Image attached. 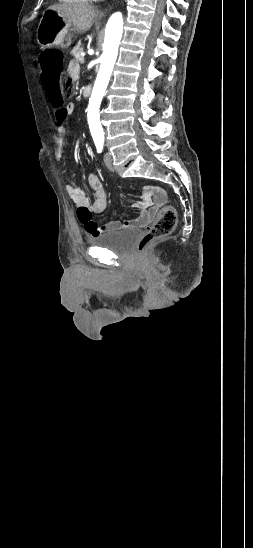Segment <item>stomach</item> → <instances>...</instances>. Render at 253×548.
Masks as SVG:
<instances>
[{"label":"stomach","instance_id":"obj_1","mask_svg":"<svg viewBox=\"0 0 253 548\" xmlns=\"http://www.w3.org/2000/svg\"><path fill=\"white\" fill-rule=\"evenodd\" d=\"M37 42L43 49L68 48L72 43L68 22L55 11H45L38 25Z\"/></svg>","mask_w":253,"mask_h":548}]
</instances>
